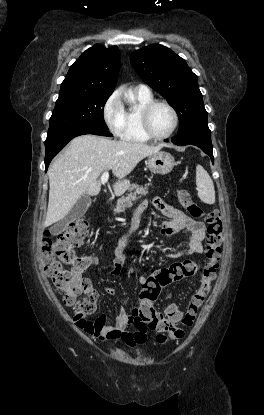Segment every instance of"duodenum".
Returning <instances> with one entry per match:
<instances>
[{"label":"duodenum","instance_id":"obj_1","mask_svg":"<svg viewBox=\"0 0 264 415\" xmlns=\"http://www.w3.org/2000/svg\"><path fill=\"white\" fill-rule=\"evenodd\" d=\"M139 222H140L139 219L134 218V220H133V226L137 227L138 224H139Z\"/></svg>","mask_w":264,"mask_h":415}]
</instances>
